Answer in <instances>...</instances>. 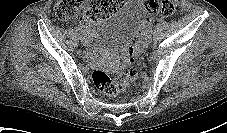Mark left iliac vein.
<instances>
[{"label": "left iliac vein", "instance_id": "obj_1", "mask_svg": "<svg viewBox=\"0 0 227 133\" xmlns=\"http://www.w3.org/2000/svg\"><path fill=\"white\" fill-rule=\"evenodd\" d=\"M150 42H151V36L145 32L141 38L142 47L148 48V46L150 45Z\"/></svg>", "mask_w": 227, "mask_h": 133}]
</instances>
